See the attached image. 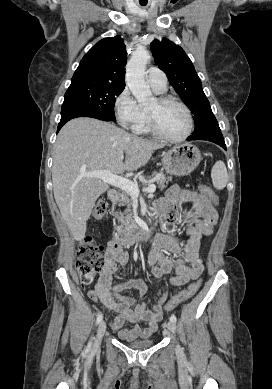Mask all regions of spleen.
Masks as SVG:
<instances>
[{
  "label": "spleen",
  "mask_w": 272,
  "mask_h": 389,
  "mask_svg": "<svg viewBox=\"0 0 272 389\" xmlns=\"http://www.w3.org/2000/svg\"><path fill=\"white\" fill-rule=\"evenodd\" d=\"M211 178L214 188L222 190L228 181L227 169L223 161H217L211 170Z\"/></svg>",
  "instance_id": "spleen-1"
}]
</instances>
